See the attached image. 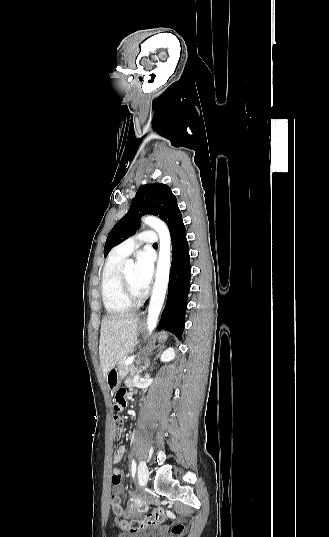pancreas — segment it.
Segmentation results:
<instances>
[{
  "instance_id": "cf45deb5",
  "label": "pancreas",
  "mask_w": 329,
  "mask_h": 537,
  "mask_svg": "<svg viewBox=\"0 0 329 537\" xmlns=\"http://www.w3.org/2000/svg\"><path fill=\"white\" fill-rule=\"evenodd\" d=\"M126 360V358H123L118 363V374L120 377H124L131 369L129 365H126Z\"/></svg>"
}]
</instances>
